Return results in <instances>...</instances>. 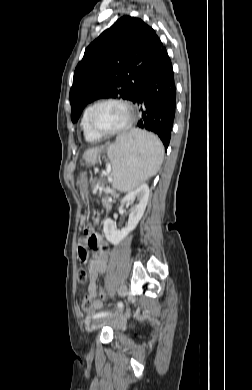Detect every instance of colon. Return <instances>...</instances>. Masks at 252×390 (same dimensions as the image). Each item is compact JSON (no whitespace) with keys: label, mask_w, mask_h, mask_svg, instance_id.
I'll return each instance as SVG.
<instances>
[{"label":"colon","mask_w":252,"mask_h":390,"mask_svg":"<svg viewBox=\"0 0 252 390\" xmlns=\"http://www.w3.org/2000/svg\"><path fill=\"white\" fill-rule=\"evenodd\" d=\"M98 219H99V215H98V213H95L94 217H93L94 222H97ZM89 278H90V275H89L88 271L84 267L79 268V270L77 272V279H78V281L80 283L84 284V283H86L89 280ZM80 308L85 313L92 312L94 309H93V302H92L91 297L85 296L81 300Z\"/></svg>","instance_id":"5ec220e1"}]
</instances>
